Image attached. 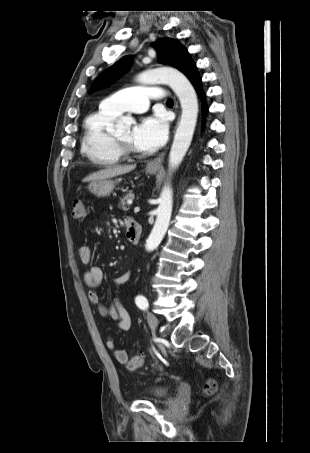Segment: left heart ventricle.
Wrapping results in <instances>:
<instances>
[{
	"label": "left heart ventricle",
	"instance_id": "1",
	"mask_svg": "<svg viewBox=\"0 0 310 453\" xmlns=\"http://www.w3.org/2000/svg\"><path fill=\"white\" fill-rule=\"evenodd\" d=\"M132 127H129L127 129H125L124 131H122L121 133L119 134H116L115 136L118 137L121 141L125 142V143H128L130 144L131 146H133L135 149H137L134 145H133V142H132Z\"/></svg>",
	"mask_w": 310,
	"mask_h": 453
}]
</instances>
